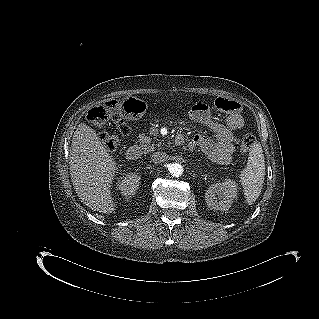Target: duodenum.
I'll return each mask as SVG.
<instances>
[{"label": "duodenum", "instance_id": "1", "mask_svg": "<svg viewBox=\"0 0 319 319\" xmlns=\"http://www.w3.org/2000/svg\"><path fill=\"white\" fill-rule=\"evenodd\" d=\"M183 141H184V136L182 134H178L176 136V142L178 144H181L183 143ZM140 155H141L140 148L136 145L131 146L126 152V157L131 160L138 159Z\"/></svg>", "mask_w": 319, "mask_h": 319}]
</instances>
